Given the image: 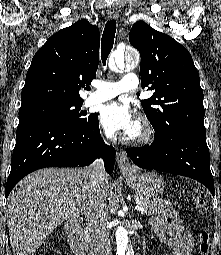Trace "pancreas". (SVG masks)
<instances>
[{"instance_id":"pancreas-1","label":"pancreas","mask_w":221,"mask_h":255,"mask_svg":"<svg viewBox=\"0 0 221 255\" xmlns=\"http://www.w3.org/2000/svg\"><path fill=\"white\" fill-rule=\"evenodd\" d=\"M135 199H140L139 206L144 208L145 211L141 212L142 214L155 215L160 214L164 211L166 206H171L172 203L170 201H166L163 199H149L147 197H142L141 194H135Z\"/></svg>"}]
</instances>
